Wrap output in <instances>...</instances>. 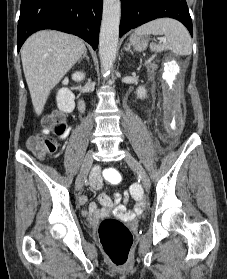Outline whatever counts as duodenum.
Instances as JSON below:
<instances>
[{
  "instance_id": "1",
  "label": "duodenum",
  "mask_w": 227,
  "mask_h": 279,
  "mask_svg": "<svg viewBox=\"0 0 227 279\" xmlns=\"http://www.w3.org/2000/svg\"><path fill=\"white\" fill-rule=\"evenodd\" d=\"M84 107H85V100L83 98H80L78 100V109L80 111H83Z\"/></svg>"
}]
</instances>
